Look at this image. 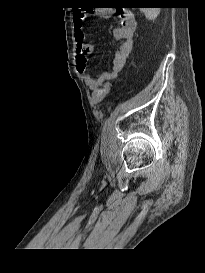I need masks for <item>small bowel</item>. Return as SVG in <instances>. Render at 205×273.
<instances>
[{
  "label": "small bowel",
  "mask_w": 205,
  "mask_h": 273,
  "mask_svg": "<svg viewBox=\"0 0 205 273\" xmlns=\"http://www.w3.org/2000/svg\"><path fill=\"white\" fill-rule=\"evenodd\" d=\"M115 11L108 8L100 9L97 13L100 18H110ZM120 26L114 30L115 38L120 42L114 58L113 69L111 72H102L98 77H94L86 70L87 57L93 53L94 45L85 41L86 34L83 31L85 16L81 12H75L73 17L74 35L76 39L77 70L82 74L87 86L94 92L98 91L103 83L115 79L118 73L123 69L133 47V35L137 27L134 15L129 11L117 12Z\"/></svg>",
  "instance_id": "small-bowel-1"
}]
</instances>
